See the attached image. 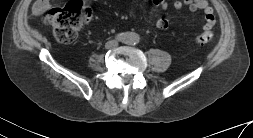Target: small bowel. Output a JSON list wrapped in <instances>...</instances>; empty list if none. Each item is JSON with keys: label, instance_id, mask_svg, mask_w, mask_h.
<instances>
[{"label": "small bowel", "instance_id": "small-bowel-1", "mask_svg": "<svg viewBox=\"0 0 253 138\" xmlns=\"http://www.w3.org/2000/svg\"><path fill=\"white\" fill-rule=\"evenodd\" d=\"M153 6L159 10L165 11L168 8V2L166 0H150ZM187 6L192 12L202 10L204 12V30H210L215 24V15L212 7L207 0H182L175 1L173 8L177 11L181 10L183 6ZM50 8V0H36L33 5V11L37 15L45 13ZM156 26L161 31H166L169 28V22L165 18H160Z\"/></svg>", "mask_w": 253, "mask_h": 138}]
</instances>
